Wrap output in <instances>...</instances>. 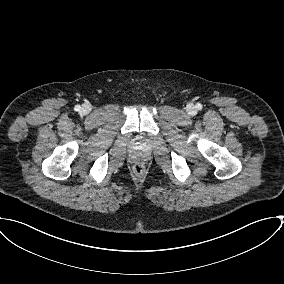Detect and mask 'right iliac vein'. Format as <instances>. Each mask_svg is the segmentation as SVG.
Listing matches in <instances>:
<instances>
[{
	"instance_id": "right-iliac-vein-1",
	"label": "right iliac vein",
	"mask_w": 284,
	"mask_h": 284,
	"mask_svg": "<svg viewBox=\"0 0 284 284\" xmlns=\"http://www.w3.org/2000/svg\"><path fill=\"white\" fill-rule=\"evenodd\" d=\"M82 111L84 113H89L91 111V106L90 105H84L83 108H82Z\"/></svg>"
}]
</instances>
